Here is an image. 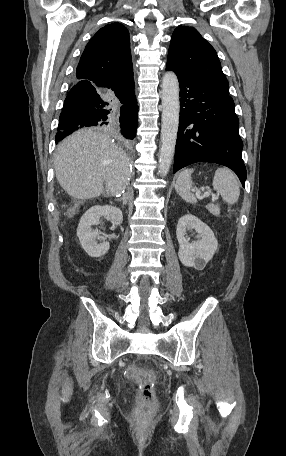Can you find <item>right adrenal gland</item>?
<instances>
[{
    "instance_id": "1",
    "label": "right adrenal gland",
    "mask_w": 286,
    "mask_h": 456,
    "mask_svg": "<svg viewBox=\"0 0 286 456\" xmlns=\"http://www.w3.org/2000/svg\"><path fill=\"white\" fill-rule=\"evenodd\" d=\"M127 200H128L127 194H123V197L121 199H118V201L122 202L123 207H124V205L127 204Z\"/></svg>"
}]
</instances>
